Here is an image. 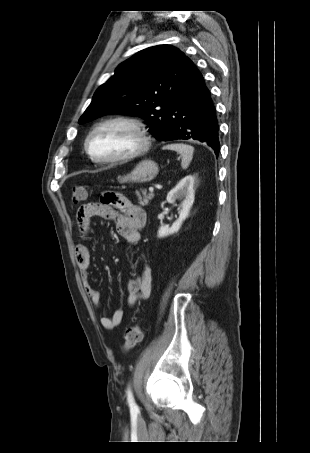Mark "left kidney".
Here are the masks:
<instances>
[{"label":"left kidney","instance_id":"1","mask_svg":"<svg viewBox=\"0 0 310 453\" xmlns=\"http://www.w3.org/2000/svg\"><path fill=\"white\" fill-rule=\"evenodd\" d=\"M195 178L192 175L184 177L167 195L168 203H175L176 200H181L179 208V218L172 224L171 227L161 225L159 227L157 236L163 238L174 233H177L182 226L183 221L188 217L190 209L194 203Z\"/></svg>","mask_w":310,"mask_h":453}]
</instances>
